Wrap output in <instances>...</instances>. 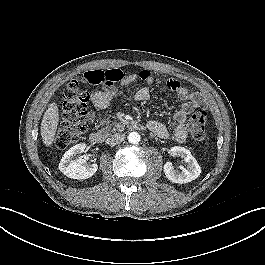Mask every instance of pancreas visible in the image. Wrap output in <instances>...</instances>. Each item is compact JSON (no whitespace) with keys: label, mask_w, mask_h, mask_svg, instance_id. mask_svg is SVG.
<instances>
[{"label":"pancreas","mask_w":265,"mask_h":265,"mask_svg":"<svg viewBox=\"0 0 265 265\" xmlns=\"http://www.w3.org/2000/svg\"><path fill=\"white\" fill-rule=\"evenodd\" d=\"M109 127L110 126H107V128H109ZM115 127H116L115 131L116 130L122 131L124 129V125L123 124H120V123L116 124Z\"/></svg>","instance_id":"pancreas-1"}]
</instances>
